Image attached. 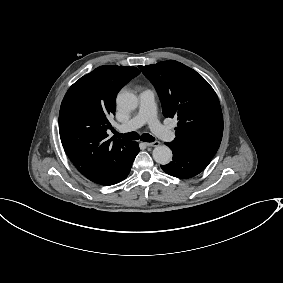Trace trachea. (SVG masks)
<instances>
[{
	"label": "trachea",
	"instance_id": "obj_1",
	"mask_svg": "<svg viewBox=\"0 0 283 283\" xmlns=\"http://www.w3.org/2000/svg\"><path fill=\"white\" fill-rule=\"evenodd\" d=\"M113 133H114L115 138H123V139H129V140H138L140 138V140L144 142H154L155 141V138L152 137L148 133H144L141 136H139V134L136 132L122 134L114 130Z\"/></svg>",
	"mask_w": 283,
	"mask_h": 283
}]
</instances>
